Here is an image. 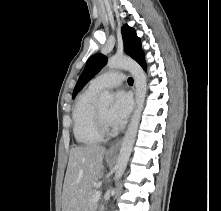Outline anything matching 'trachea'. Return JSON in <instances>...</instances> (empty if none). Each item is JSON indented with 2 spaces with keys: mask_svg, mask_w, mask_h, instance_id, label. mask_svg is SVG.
<instances>
[{
  "mask_svg": "<svg viewBox=\"0 0 221 211\" xmlns=\"http://www.w3.org/2000/svg\"><path fill=\"white\" fill-rule=\"evenodd\" d=\"M128 84L133 85V78H131V77L128 78Z\"/></svg>",
  "mask_w": 221,
  "mask_h": 211,
  "instance_id": "3493384b",
  "label": "trachea"
}]
</instances>
